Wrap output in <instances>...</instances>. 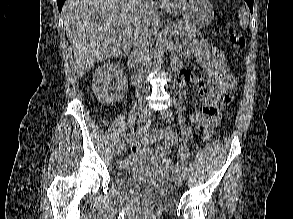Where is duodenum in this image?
<instances>
[{"mask_svg":"<svg viewBox=\"0 0 293 219\" xmlns=\"http://www.w3.org/2000/svg\"><path fill=\"white\" fill-rule=\"evenodd\" d=\"M129 67L135 70V75L133 77V82L134 84H137L139 82V75H138V70H139V55L137 50H134L132 54L129 57L128 61ZM174 70L177 72L178 76L180 74V69L177 65H174ZM178 79V78H177Z\"/></svg>","mask_w":293,"mask_h":219,"instance_id":"1","label":"duodenum"}]
</instances>
